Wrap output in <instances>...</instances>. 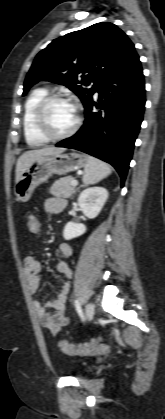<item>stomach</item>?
Returning a JSON list of instances; mask_svg holds the SVG:
<instances>
[{
  "mask_svg": "<svg viewBox=\"0 0 165 419\" xmlns=\"http://www.w3.org/2000/svg\"><path fill=\"white\" fill-rule=\"evenodd\" d=\"M87 156L77 152L59 153L37 158L22 173L16 183L14 193L18 201L27 202L40 184L46 182L53 174L64 175L86 165Z\"/></svg>",
  "mask_w": 165,
  "mask_h": 419,
  "instance_id": "obj_1",
  "label": "stomach"
}]
</instances>
